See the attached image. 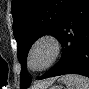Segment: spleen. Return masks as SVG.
I'll list each match as a JSON object with an SVG mask.
<instances>
[{"instance_id": "obj_1", "label": "spleen", "mask_w": 89, "mask_h": 89, "mask_svg": "<svg viewBox=\"0 0 89 89\" xmlns=\"http://www.w3.org/2000/svg\"><path fill=\"white\" fill-rule=\"evenodd\" d=\"M60 81L66 85L67 89H89V79L82 75H64Z\"/></svg>"}]
</instances>
